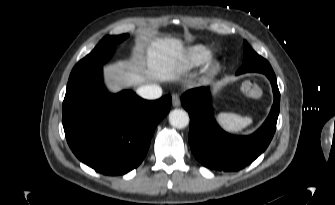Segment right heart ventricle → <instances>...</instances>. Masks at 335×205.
I'll list each match as a JSON object with an SVG mask.
<instances>
[{"label": "right heart ventricle", "instance_id": "right-heart-ventricle-1", "mask_svg": "<svg viewBox=\"0 0 335 205\" xmlns=\"http://www.w3.org/2000/svg\"><path fill=\"white\" fill-rule=\"evenodd\" d=\"M212 55V50L203 44L188 47L184 52L181 62L184 68L192 69L205 63Z\"/></svg>", "mask_w": 335, "mask_h": 205}]
</instances>
